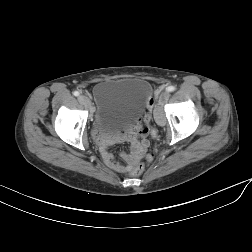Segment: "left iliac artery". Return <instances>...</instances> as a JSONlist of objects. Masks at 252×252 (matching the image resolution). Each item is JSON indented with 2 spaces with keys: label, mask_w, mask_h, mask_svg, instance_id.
<instances>
[{
  "label": "left iliac artery",
  "mask_w": 252,
  "mask_h": 252,
  "mask_svg": "<svg viewBox=\"0 0 252 252\" xmlns=\"http://www.w3.org/2000/svg\"><path fill=\"white\" fill-rule=\"evenodd\" d=\"M166 90L168 92H173L175 90V87L174 86H169Z\"/></svg>",
  "instance_id": "44dca946"
}]
</instances>
